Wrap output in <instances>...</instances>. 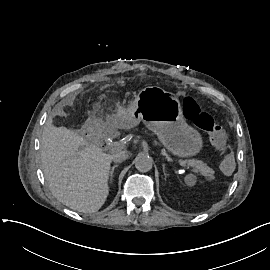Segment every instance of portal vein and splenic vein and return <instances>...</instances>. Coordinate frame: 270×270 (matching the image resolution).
I'll return each mask as SVG.
<instances>
[{"label":"portal vein and splenic vein","mask_w":270,"mask_h":270,"mask_svg":"<svg viewBox=\"0 0 270 270\" xmlns=\"http://www.w3.org/2000/svg\"><path fill=\"white\" fill-rule=\"evenodd\" d=\"M119 151H120V148L118 146H113L112 148H107L106 149L107 153H112V154L118 153ZM178 165L188 167V164L183 163V162H178Z\"/></svg>","instance_id":"obj_1"}]
</instances>
